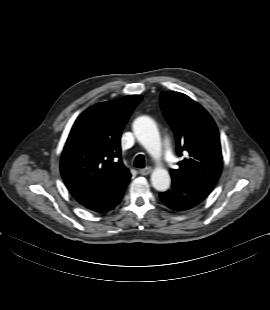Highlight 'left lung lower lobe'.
Instances as JSON below:
<instances>
[{"label": "left lung lower lobe", "instance_id": "1", "mask_svg": "<svg viewBox=\"0 0 270 310\" xmlns=\"http://www.w3.org/2000/svg\"><path fill=\"white\" fill-rule=\"evenodd\" d=\"M213 188L172 177V188L160 193V199L172 210L185 211L200 204Z\"/></svg>", "mask_w": 270, "mask_h": 310}]
</instances>
